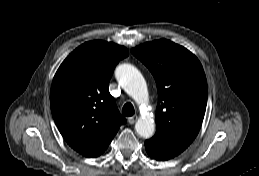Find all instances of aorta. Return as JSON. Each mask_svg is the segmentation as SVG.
Wrapping results in <instances>:
<instances>
[{
    "label": "aorta",
    "mask_w": 259,
    "mask_h": 176,
    "mask_svg": "<svg viewBox=\"0 0 259 176\" xmlns=\"http://www.w3.org/2000/svg\"><path fill=\"white\" fill-rule=\"evenodd\" d=\"M115 76L125 92L130 95L138 105L148 102L146 81L140 71L131 64H121L116 68ZM135 130L143 138H150L155 131L154 120L145 116L135 124Z\"/></svg>",
    "instance_id": "obj_1"
}]
</instances>
